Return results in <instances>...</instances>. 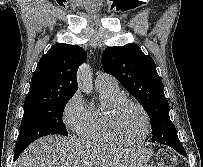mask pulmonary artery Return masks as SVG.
Wrapping results in <instances>:
<instances>
[{"mask_svg":"<svg viewBox=\"0 0 203 167\" xmlns=\"http://www.w3.org/2000/svg\"><path fill=\"white\" fill-rule=\"evenodd\" d=\"M95 83L97 87L117 85L115 77L105 72H100L97 75Z\"/></svg>","mask_w":203,"mask_h":167,"instance_id":"pulmonary-artery-1","label":"pulmonary artery"}]
</instances>
